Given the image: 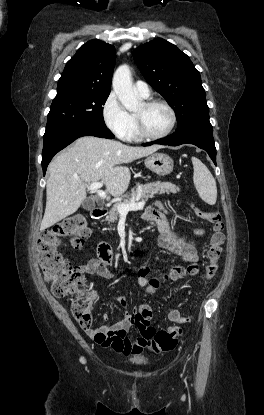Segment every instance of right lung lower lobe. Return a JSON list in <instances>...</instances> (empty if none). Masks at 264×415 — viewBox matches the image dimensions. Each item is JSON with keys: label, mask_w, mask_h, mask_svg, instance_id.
Listing matches in <instances>:
<instances>
[{"label": "right lung lower lobe", "mask_w": 264, "mask_h": 415, "mask_svg": "<svg viewBox=\"0 0 264 415\" xmlns=\"http://www.w3.org/2000/svg\"><path fill=\"white\" fill-rule=\"evenodd\" d=\"M82 136H95L101 138L113 139L114 135L106 125L84 124L78 125L65 130L53 133L44 137V146L42 152V168L45 175L47 166L53 156Z\"/></svg>", "instance_id": "right-lung-lower-lobe-1"}]
</instances>
